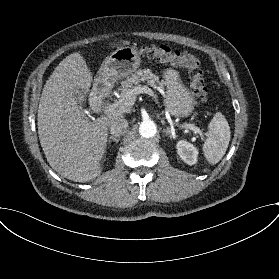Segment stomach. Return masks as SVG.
<instances>
[{
    "mask_svg": "<svg viewBox=\"0 0 279 279\" xmlns=\"http://www.w3.org/2000/svg\"><path fill=\"white\" fill-rule=\"evenodd\" d=\"M141 58L133 47H120L108 56L100 66L99 76L106 83L125 78L140 66ZM163 84L166 86L164 105L166 110L175 117H188L194 111L197 101L192 92L183 84L180 74L173 68L162 73Z\"/></svg>",
    "mask_w": 279,
    "mask_h": 279,
    "instance_id": "1",
    "label": "stomach"
}]
</instances>
